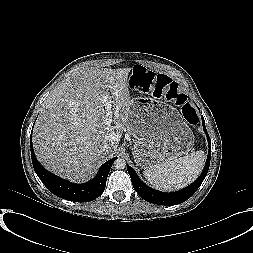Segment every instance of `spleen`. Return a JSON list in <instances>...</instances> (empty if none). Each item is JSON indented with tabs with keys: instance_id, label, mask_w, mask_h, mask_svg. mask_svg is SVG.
<instances>
[{
	"instance_id": "3e777b00",
	"label": "spleen",
	"mask_w": 253,
	"mask_h": 253,
	"mask_svg": "<svg viewBox=\"0 0 253 253\" xmlns=\"http://www.w3.org/2000/svg\"><path fill=\"white\" fill-rule=\"evenodd\" d=\"M205 158L204 151H196L150 166L143 174L156 189H181L197 178L204 166Z\"/></svg>"
}]
</instances>
